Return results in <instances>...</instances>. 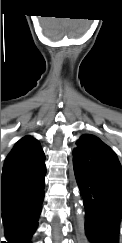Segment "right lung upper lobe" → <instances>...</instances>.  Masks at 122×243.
<instances>
[{"instance_id":"obj_1","label":"right lung upper lobe","mask_w":122,"mask_h":243,"mask_svg":"<svg viewBox=\"0 0 122 243\" xmlns=\"http://www.w3.org/2000/svg\"><path fill=\"white\" fill-rule=\"evenodd\" d=\"M45 166V156L39 142L31 136L19 140L7 156L2 183Z\"/></svg>"}]
</instances>
